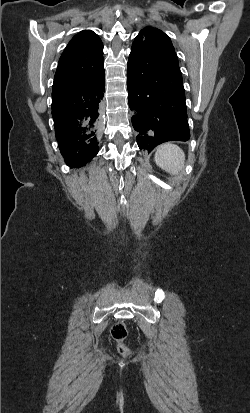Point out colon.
Instances as JSON below:
<instances>
[{
  "mask_svg": "<svg viewBox=\"0 0 250 413\" xmlns=\"http://www.w3.org/2000/svg\"><path fill=\"white\" fill-rule=\"evenodd\" d=\"M110 334L112 339L118 344V352L124 357L129 356L131 354V350L125 344V340L128 335L126 325L123 322L115 323L111 328Z\"/></svg>",
  "mask_w": 250,
  "mask_h": 413,
  "instance_id": "5ec220e1",
  "label": "colon"
}]
</instances>
